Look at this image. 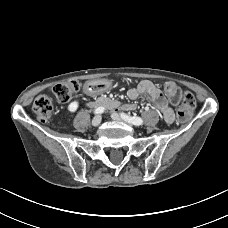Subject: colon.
<instances>
[{
	"label": "colon",
	"mask_w": 228,
	"mask_h": 228,
	"mask_svg": "<svg viewBox=\"0 0 228 228\" xmlns=\"http://www.w3.org/2000/svg\"><path fill=\"white\" fill-rule=\"evenodd\" d=\"M78 80H65L53 87V93L58 102L65 103L80 89ZM164 89L171 101L179 106L177 115L180 121H188L196 106L195 97L188 91H183L173 82H166ZM33 112L41 122H47L53 113V104L47 95H39L33 102Z\"/></svg>",
	"instance_id": "5ec220e1"
}]
</instances>
